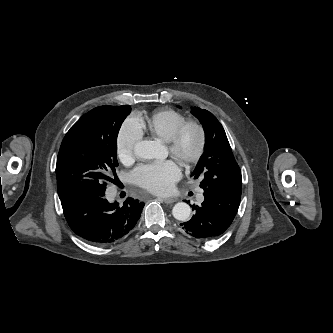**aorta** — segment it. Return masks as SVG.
Instances as JSON below:
<instances>
[{
  "instance_id": "1",
  "label": "aorta",
  "mask_w": 333,
  "mask_h": 333,
  "mask_svg": "<svg viewBox=\"0 0 333 333\" xmlns=\"http://www.w3.org/2000/svg\"><path fill=\"white\" fill-rule=\"evenodd\" d=\"M134 152L138 158L154 159L157 156L158 148L153 141L143 140L135 145ZM172 214L179 221H187L191 214V208L187 203L179 202L173 207Z\"/></svg>"
}]
</instances>
